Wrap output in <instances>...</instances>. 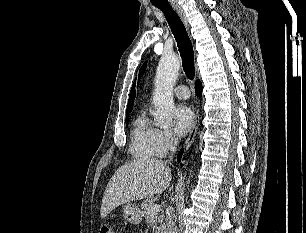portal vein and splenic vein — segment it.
<instances>
[{"label":"portal vein and splenic vein","mask_w":306,"mask_h":233,"mask_svg":"<svg viewBox=\"0 0 306 233\" xmlns=\"http://www.w3.org/2000/svg\"><path fill=\"white\" fill-rule=\"evenodd\" d=\"M160 211V205L159 204H154L149 208V214H156Z\"/></svg>","instance_id":"18ae733b"}]
</instances>
